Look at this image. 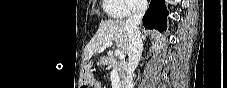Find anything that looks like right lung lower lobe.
Here are the masks:
<instances>
[{
	"label": "right lung lower lobe",
	"mask_w": 227,
	"mask_h": 88,
	"mask_svg": "<svg viewBox=\"0 0 227 88\" xmlns=\"http://www.w3.org/2000/svg\"><path fill=\"white\" fill-rule=\"evenodd\" d=\"M168 15L164 0H151L149 9L143 17V25L147 29L166 30V16Z\"/></svg>",
	"instance_id": "obj_1"
}]
</instances>
